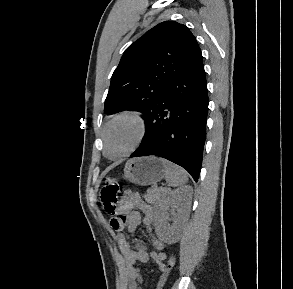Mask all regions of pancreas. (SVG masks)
I'll return each instance as SVG.
<instances>
[{"label":"pancreas","instance_id":"1","mask_svg":"<svg viewBox=\"0 0 293 289\" xmlns=\"http://www.w3.org/2000/svg\"><path fill=\"white\" fill-rule=\"evenodd\" d=\"M166 194V190L162 188H150L147 190L144 198L150 204H156Z\"/></svg>","mask_w":293,"mask_h":289}]
</instances>
